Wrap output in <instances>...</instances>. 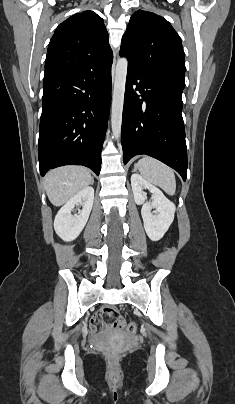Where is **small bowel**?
Returning a JSON list of instances; mask_svg holds the SVG:
<instances>
[{"instance_id":"c3829d8e","label":"small bowel","mask_w":235,"mask_h":404,"mask_svg":"<svg viewBox=\"0 0 235 404\" xmlns=\"http://www.w3.org/2000/svg\"><path fill=\"white\" fill-rule=\"evenodd\" d=\"M104 315H105L104 308H102L101 310H99V311L93 316L92 322H93L94 320H96V319L102 320V318H103ZM90 333H91V334L95 333V326H94V324H91V325H90Z\"/></svg>"}]
</instances>
